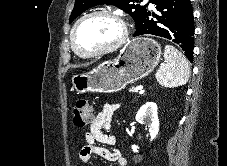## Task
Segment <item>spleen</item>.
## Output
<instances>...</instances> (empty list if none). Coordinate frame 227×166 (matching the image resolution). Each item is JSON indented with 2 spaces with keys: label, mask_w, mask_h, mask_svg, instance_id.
<instances>
[{
  "label": "spleen",
  "mask_w": 227,
  "mask_h": 166,
  "mask_svg": "<svg viewBox=\"0 0 227 166\" xmlns=\"http://www.w3.org/2000/svg\"><path fill=\"white\" fill-rule=\"evenodd\" d=\"M165 63L156 72V79L164 87H178L187 83L190 67L186 57L172 45L164 50Z\"/></svg>",
  "instance_id": "spleen-1"
}]
</instances>
